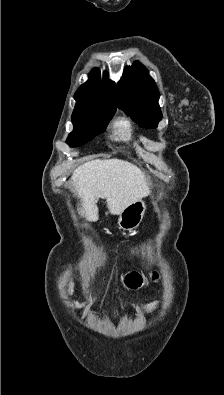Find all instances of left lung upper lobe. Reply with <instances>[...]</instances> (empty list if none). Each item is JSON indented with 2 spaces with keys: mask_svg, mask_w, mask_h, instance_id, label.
Masks as SVG:
<instances>
[{
  "mask_svg": "<svg viewBox=\"0 0 224 395\" xmlns=\"http://www.w3.org/2000/svg\"><path fill=\"white\" fill-rule=\"evenodd\" d=\"M160 94L149 71L138 61L124 70L117 85L118 107L140 126L156 128L162 118L158 104Z\"/></svg>",
  "mask_w": 224,
  "mask_h": 395,
  "instance_id": "1",
  "label": "left lung upper lobe"
}]
</instances>
